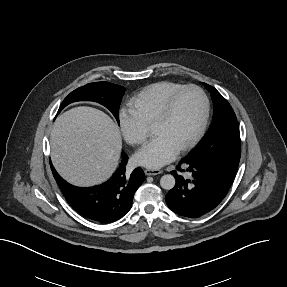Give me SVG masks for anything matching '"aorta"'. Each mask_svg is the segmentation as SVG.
Here are the masks:
<instances>
[{
    "label": "aorta",
    "instance_id": "762f6f07",
    "mask_svg": "<svg viewBox=\"0 0 287 287\" xmlns=\"http://www.w3.org/2000/svg\"><path fill=\"white\" fill-rule=\"evenodd\" d=\"M160 185L165 190H170L175 186V178L171 174L163 175L160 179Z\"/></svg>",
    "mask_w": 287,
    "mask_h": 287
}]
</instances>
